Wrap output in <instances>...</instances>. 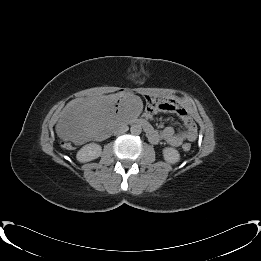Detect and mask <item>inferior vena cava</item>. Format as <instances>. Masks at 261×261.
<instances>
[{"mask_svg": "<svg viewBox=\"0 0 261 261\" xmlns=\"http://www.w3.org/2000/svg\"><path fill=\"white\" fill-rule=\"evenodd\" d=\"M129 127L126 124H121L117 129H116V133L122 134L126 131H128Z\"/></svg>", "mask_w": 261, "mask_h": 261, "instance_id": "602c4592", "label": "inferior vena cava"}]
</instances>
